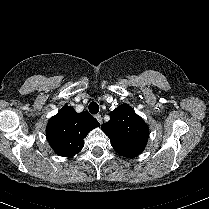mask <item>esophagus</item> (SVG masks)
I'll list each match as a JSON object with an SVG mask.
<instances>
[{"label":"esophagus","instance_id":"1","mask_svg":"<svg viewBox=\"0 0 209 209\" xmlns=\"http://www.w3.org/2000/svg\"><path fill=\"white\" fill-rule=\"evenodd\" d=\"M95 118L98 120V122H99L100 124H102V117H101V115L97 114V115L95 116Z\"/></svg>","mask_w":209,"mask_h":209}]
</instances>
